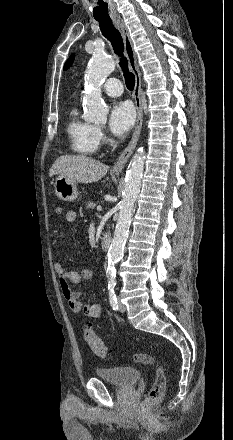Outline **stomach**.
I'll list each match as a JSON object with an SVG mask.
<instances>
[{
	"label": "stomach",
	"instance_id": "1",
	"mask_svg": "<svg viewBox=\"0 0 233 440\" xmlns=\"http://www.w3.org/2000/svg\"><path fill=\"white\" fill-rule=\"evenodd\" d=\"M56 196L62 201H74L78 197L76 181L64 176H58L54 182Z\"/></svg>",
	"mask_w": 233,
	"mask_h": 440
}]
</instances>
